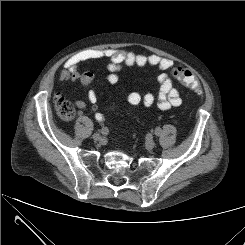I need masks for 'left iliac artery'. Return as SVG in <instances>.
Masks as SVG:
<instances>
[{
  "label": "left iliac artery",
  "mask_w": 245,
  "mask_h": 245,
  "mask_svg": "<svg viewBox=\"0 0 245 245\" xmlns=\"http://www.w3.org/2000/svg\"><path fill=\"white\" fill-rule=\"evenodd\" d=\"M155 135H156V136H159V135H160V130H159V129H156Z\"/></svg>",
  "instance_id": "44dca946"
}]
</instances>
